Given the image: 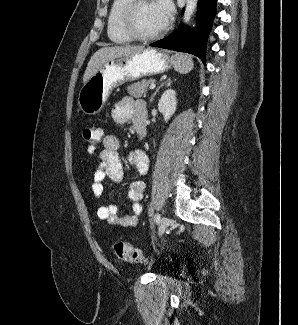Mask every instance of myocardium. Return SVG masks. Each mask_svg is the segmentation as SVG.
Wrapping results in <instances>:
<instances>
[{
    "instance_id": "myocardium-1",
    "label": "myocardium",
    "mask_w": 298,
    "mask_h": 325,
    "mask_svg": "<svg viewBox=\"0 0 298 325\" xmlns=\"http://www.w3.org/2000/svg\"><path fill=\"white\" fill-rule=\"evenodd\" d=\"M143 1L146 0H128L126 2L119 17V27L121 32L131 40L139 41V42H149V41L156 40L161 35H163L166 29L164 27L160 31H157L150 35H140L133 29L130 23L132 13L134 9Z\"/></svg>"
}]
</instances>
